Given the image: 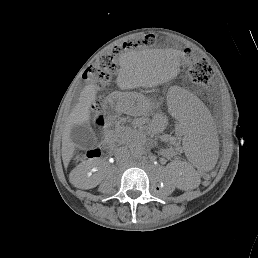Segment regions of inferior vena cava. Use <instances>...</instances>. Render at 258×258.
I'll return each instance as SVG.
<instances>
[{"instance_id":"602c4592","label":"inferior vena cava","mask_w":258,"mask_h":258,"mask_svg":"<svg viewBox=\"0 0 258 258\" xmlns=\"http://www.w3.org/2000/svg\"><path fill=\"white\" fill-rule=\"evenodd\" d=\"M126 150L125 149H118L117 150V153H116V156H117V159L119 162H123L124 161V157L126 154Z\"/></svg>"}]
</instances>
